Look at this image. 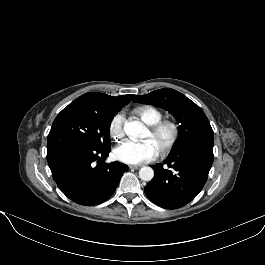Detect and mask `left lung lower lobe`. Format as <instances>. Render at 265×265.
I'll list each match as a JSON object with an SVG mask.
<instances>
[{"label": "left lung lower lobe", "instance_id": "left-lung-lower-lobe-1", "mask_svg": "<svg viewBox=\"0 0 265 265\" xmlns=\"http://www.w3.org/2000/svg\"><path fill=\"white\" fill-rule=\"evenodd\" d=\"M213 130L198 133L174 148L165 163L153 165L154 178L145 186L147 197L165 209L191 202L204 187L214 155Z\"/></svg>", "mask_w": 265, "mask_h": 265}]
</instances>
